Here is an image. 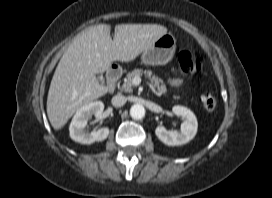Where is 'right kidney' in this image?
I'll use <instances>...</instances> for the list:
<instances>
[{
	"instance_id": "1",
	"label": "right kidney",
	"mask_w": 272,
	"mask_h": 198,
	"mask_svg": "<svg viewBox=\"0 0 272 198\" xmlns=\"http://www.w3.org/2000/svg\"><path fill=\"white\" fill-rule=\"evenodd\" d=\"M103 110L104 104L101 101L88 103L77 110L69 126L71 139L81 144H92L95 141L105 140L109 135V129L107 127L92 131L91 133H86L84 130L88 119L91 118L92 115L96 117L100 116Z\"/></svg>"
}]
</instances>
